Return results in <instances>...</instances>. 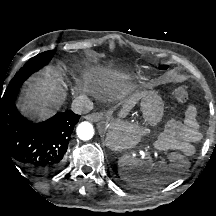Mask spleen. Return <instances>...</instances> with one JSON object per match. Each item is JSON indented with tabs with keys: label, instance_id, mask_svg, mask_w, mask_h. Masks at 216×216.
Wrapping results in <instances>:
<instances>
[{
	"label": "spleen",
	"instance_id": "spleen-1",
	"mask_svg": "<svg viewBox=\"0 0 216 216\" xmlns=\"http://www.w3.org/2000/svg\"><path fill=\"white\" fill-rule=\"evenodd\" d=\"M117 165L120 177L140 189H152L155 184H167L177 178L176 163H156L124 154L119 157Z\"/></svg>",
	"mask_w": 216,
	"mask_h": 216
}]
</instances>
